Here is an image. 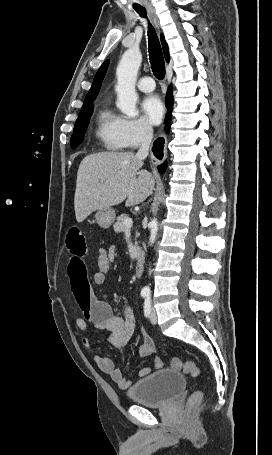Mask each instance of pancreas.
<instances>
[{"label": "pancreas", "instance_id": "pancreas-1", "mask_svg": "<svg viewBox=\"0 0 272 455\" xmlns=\"http://www.w3.org/2000/svg\"><path fill=\"white\" fill-rule=\"evenodd\" d=\"M128 218L126 214H121L118 218L117 221L114 224V231L116 233H122L126 230V226L124 224L125 219ZM137 242H135V246H137Z\"/></svg>", "mask_w": 272, "mask_h": 455}]
</instances>
